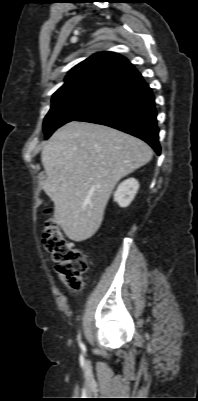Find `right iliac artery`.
Here are the masks:
<instances>
[{
    "mask_svg": "<svg viewBox=\"0 0 198 401\" xmlns=\"http://www.w3.org/2000/svg\"><path fill=\"white\" fill-rule=\"evenodd\" d=\"M78 340H79L80 346L84 349V346H83V344H82L81 341H80V335L78 336Z\"/></svg>",
    "mask_w": 198,
    "mask_h": 401,
    "instance_id": "obj_1",
    "label": "right iliac artery"
}]
</instances>
